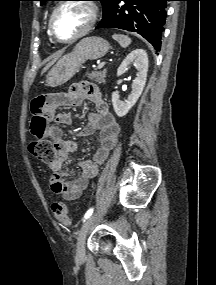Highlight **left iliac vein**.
I'll return each mask as SVG.
<instances>
[{
  "instance_id": "obj_1",
  "label": "left iliac vein",
  "mask_w": 216,
  "mask_h": 285,
  "mask_svg": "<svg viewBox=\"0 0 216 285\" xmlns=\"http://www.w3.org/2000/svg\"><path fill=\"white\" fill-rule=\"evenodd\" d=\"M95 219V215H92L90 217H88L84 223L82 224L79 233H78V237H77V247H76V257L77 259H82L85 255V239L87 236V233L93 223Z\"/></svg>"
}]
</instances>
